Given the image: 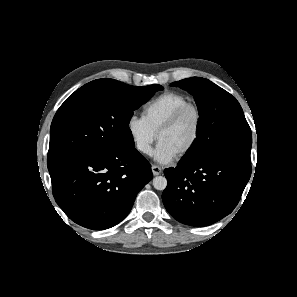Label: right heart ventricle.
<instances>
[{
	"mask_svg": "<svg viewBox=\"0 0 297 297\" xmlns=\"http://www.w3.org/2000/svg\"><path fill=\"white\" fill-rule=\"evenodd\" d=\"M191 103L183 94L166 91L143 106V118L157 133L159 128L182 106Z\"/></svg>",
	"mask_w": 297,
	"mask_h": 297,
	"instance_id": "e07e8e85",
	"label": "right heart ventricle"
}]
</instances>
